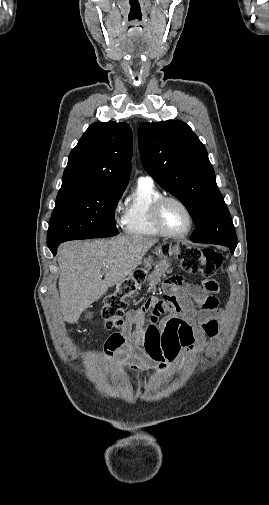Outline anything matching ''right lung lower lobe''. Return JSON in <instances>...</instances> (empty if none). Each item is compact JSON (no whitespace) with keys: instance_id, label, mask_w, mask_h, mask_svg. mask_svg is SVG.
<instances>
[{"instance_id":"obj_1","label":"right lung lower lobe","mask_w":269,"mask_h":505,"mask_svg":"<svg viewBox=\"0 0 269 505\" xmlns=\"http://www.w3.org/2000/svg\"><path fill=\"white\" fill-rule=\"evenodd\" d=\"M60 243H57V244H52V245H49V249L51 250V252L55 255L56 252H57V247Z\"/></svg>"}]
</instances>
